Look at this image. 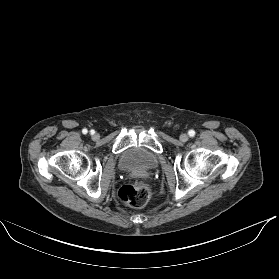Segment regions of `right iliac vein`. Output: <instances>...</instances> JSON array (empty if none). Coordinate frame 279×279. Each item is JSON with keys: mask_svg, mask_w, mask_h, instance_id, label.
Wrapping results in <instances>:
<instances>
[{"mask_svg": "<svg viewBox=\"0 0 279 279\" xmlns=\"http://www.w3.org/2000/svg\"><path fill=\"white\" fill-rule=\"evenodd\" d=\"M92 137H93V139H94V140L99 139V135H98L97 133H96V134H93V136H92Z\"/></svg>", "mask_w": 279, "mask_h": 279, "instance_id": "63e3f726", "label": "right iliac vein"}]
</instances>
